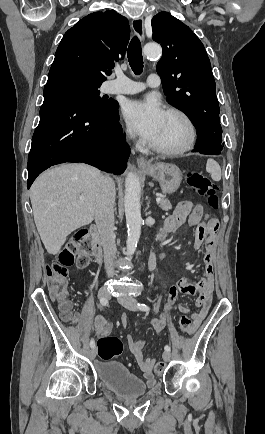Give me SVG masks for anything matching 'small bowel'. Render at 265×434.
Listing matches in <instances>:
<instances>
[{
    "instance_id": "obj_1",
    "label": "small bowel",
    "mask_w": 265,
    "mask_h": 434,
    "mask_svg": "<svg viewBox=\"0 0 265 434\" xmlns=\"http://www.w3.org/2000/svg\"><path fill=\"white\" fill-rule=\"evenodd\" d=\"M186 222L191 226L197 225L195 247L199 248L204 240L206 243V250L202 255V262L204 264L203 274L198 281H191L190 279L182 278L170 286L163 311L153 320L152 323V327L157 334L165 327L166 313L171 310H176L183 314H189L192 326L189 329L190 331L188 334L195 333L207 316L211 306V297L214 287L212 256L214 239L218 230V221L206 214L202 205H193V203L189 201H183L177 205L173 214L166 219L162 228L161 239H164L169 234L177 231ZM207 227H212L213 231L207 236L202 235L201 232ZM180 295H197L195 304L199 308V311L192 312L186 305H177L176 302ZM127 317L128 314L124 313L121 318V323L124 328L127 326ZM74 321L78 322L82 326H86L87 324V319L81 315L75 316ZM94 325L97 336H104L107 333L108 328L104 316L98 315L95 318ZM127 343L143 370L147 384L149 386L154 385L155 377L152 373L154 359L145 358L143 356L142 351L145 347V341L137 340L133 336L129 335L127 337Z\"/></svg>"
}]
</instances>
